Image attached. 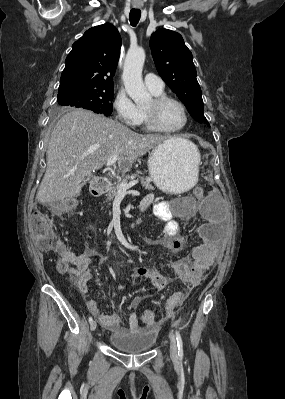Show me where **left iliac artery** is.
<instances>
[{
  "label": "left iliac artery",
  "mask_w": 285,
  "mask_h": 399,
  "mask_svg": "<svg viewBox=\"0 0 285 399\" xmlns=\"http://www.w3.org/2000/svg\"><path fill=\"white\" fill-rule=\"evenodd\" d=\"M176 334V340H177V347H178V356L182 357L183 356V342H182V338L181 335L179 333V331H175Z\"/></svg>",
  "instance_id": "left-iliac-artery-1"
}]
</instances>
